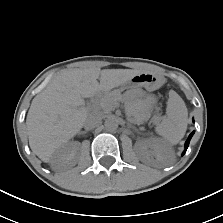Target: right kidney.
I'll return each instance as SVG.
<instances>
[{
    "label": "right kidney",
    "instance_id": "1",
    "mask_svg": "<svg viewBox=\"0 0 223 223\" xmlns=\"http://www.w3.org/2000/svg\"><path fill=\"white\" fill-rule=\"evenodd\" d=\"M78 143L68 142L60 146L53 154L51 165L55 169L71 167L75 165Z\"/></svg>",
    "mask_w": 223,
    "mask_h": 223
}]
</instances>
